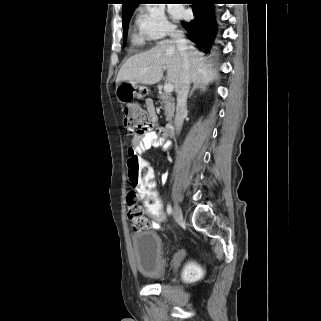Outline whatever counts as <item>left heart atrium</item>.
Masks as SVG:
<instances>
[{"mask_svg":"<svg viewBox=\"0 0 321 321\" xmlns=\"http://www.w3.org/2000/svg\"><path fill=\"white\" fill-rule=\"evenodd\" d=\"M171 14L174 18H180L183 16V10L180 7H172Z\"/></svg>","mask_w":321,"mask_h":321,"instance_id":"1","label":"left heart atrium"}]
</instances>
